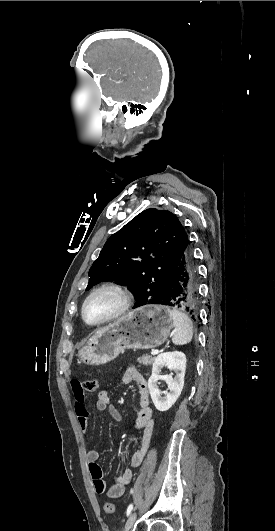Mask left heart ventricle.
<instances>
[{
	"mask_svg": "<svg viewBox=\"0 0 275 531\" xmlns=\"http://www.w3.org/2000/svg\"><path fill=\"white\" fill-rule=\"evenodd\" d=\"M120 301L116 294L112 292L101 293L90 301L85 306V317L89 321L101 320L119 307Z\"/></svg>",
	"mask_w": 275,
	"mask_h": 531,
	"instance_id": "left-heart-ventricle-1",
	"label": "left heart ventricle"
}]
</instances>
